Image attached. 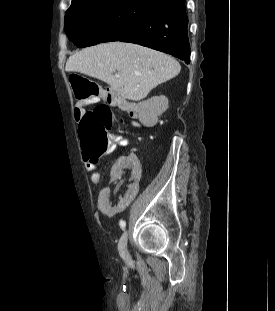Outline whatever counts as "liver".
<instances>
[{"label": "liver", "instance_id": "1", "mask_svg": "<svg viewBox=\"0 0 275 311\" xmlns=\"http://www.w3.org/2000/svg\"><path fill=\"white\" fill-rule=\"evenodd\" d=\"M65 70L97 78L123 98L139 101L157 85L178 75L181 67L173 57L159 51L132 43L111 42L70 56Z\"/></svg>", "mask_w": 275, "mask_h": 311}]
</instances>
